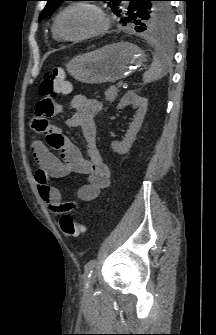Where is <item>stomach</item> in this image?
Masks as SVG:
<instances>
[{"mask_svg":"<svg viewBox=\"0 0 216 335\" xmlns=\"http://www.w3.org/2000/svg\"><path fill=\"white\" fill-rule=\"evenodd\" d=\"M145 60L137 45L122 41L79 55L66 64V69L82 83H112L133 73Z\"/></svg>","mask_w":216,"mask_h":335,"instance_id":"obj_1","label":"stomach"}]
</instances>
